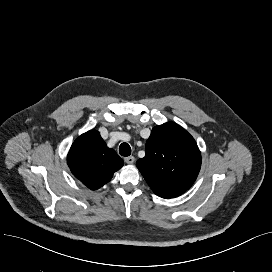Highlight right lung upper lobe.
<instances>
[{
	"label": "right lung upper lobe",
	"mask_w": 272,
	"mask_h": 272,
	"mask_svg": "<svg viewBox=\"0 0 272 272\" xmlns=\"http://www.w3.org/2000/svg\"><path fill=\"white\" fill-rule=\"evenodd\" d=\"M67 162L72 174L91 190L109 182L124 164L96 130H90L74 141Z\"/></svg>",
	"instance_id": "right-lung-upper-lobe-1"
}]
</instances>
